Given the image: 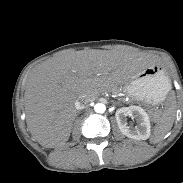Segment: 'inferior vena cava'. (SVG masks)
I'll return each instance as SVG.
<instances>
[{
	"mask_svg": "<svg viewBox=\"0 0 183 183\" xmlns=\"http://www.w3.org/2000/svg\"><path fill=\"white\" fill-rule=\"evenodd\" d=\"M91 101V99L87 96H81L78 100L75 101V108L77 110H81L85 107L86 104H88Z\"/></svg>",
	"mask_w": 183,
	"mask_h": 183,
	"instance_id": "1",
	"label": "inferior vena cava"
}]
</instances>
